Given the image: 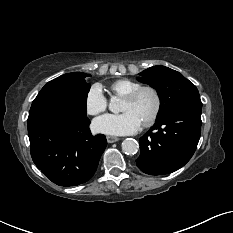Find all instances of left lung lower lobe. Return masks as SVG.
Here are the masks:
<instances>
[{"mask_svg": "<svg viewBox=\"0 0 233 233\" xmlns=\"http://www.w3.org/2000/svg\"><path fill=\"white\" fill-rule=\"evenodd\" d=\"M202 108L186 107L158 117L140 139L136 165L150 175L172 173L194 154L200 138Z\"/></svg>", "mask_w": 233, "mask_h": 233, "instance_id": "0a47b994", "label": "left lung lower lobe"}]
</instances>
